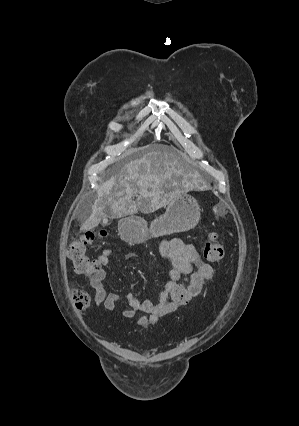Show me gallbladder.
<instances>
[{"mask_svg": "<svg viewBox=\"0 0 299 426\" xmlns=\"http://www.w3.org/2000/svg\"><path fill=\"white\" fill-rule=\"evenodd\" d=\"M105 213L107 214L106 217H110V214H111L110 208H106ZM108 223H109V221H108V219H106L105 222L103 223V225H106Z\"/></svg>", "mask_w": 299, "mask_h": 426, "instance_id": "1", "label": "gallbladder"}]
</instances>
